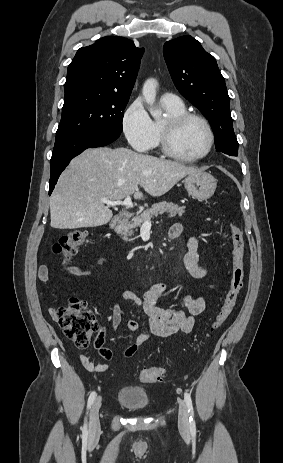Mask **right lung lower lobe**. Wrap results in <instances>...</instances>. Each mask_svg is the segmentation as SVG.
Wrapping results in <instances>:
<instances>
[{
	"instance_id": "right-lung-lower-lobe-1",
	"label": "right lung lower lobe",
	"mask_w": 283,
	"mask_h": 463,
	"mask_svg": "<svg viewBox=\"0 0 283 463\" xmlns=\"http://www.w3.org/2000/svg\"><path fill=\"white\" fill-rule=\"evenodd\" d=\"M119 135L100 131H86L56 139L51 157V175L49 195L65 167L71 159L82 153L87 148H95L108 145L115 141Z\"/></svg>"
}]
</instances>
